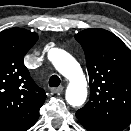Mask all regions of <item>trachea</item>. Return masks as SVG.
<instances>
[{"label":"trachea","mask_w":131,"mask_h":131,"mask_svg":"<svg viewBox=\"0 0 131 131\" xmlns=\"http://www.w3.org/2000/svg\"><path fill=\"white\" fill-rule=\"evenodd\" d=\"M60 85V78L57 75H52L49 79L50 87H58Z\"/></svg>","instance_id":"3493384b"}]
</instances>
